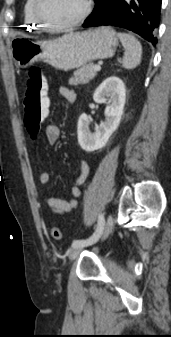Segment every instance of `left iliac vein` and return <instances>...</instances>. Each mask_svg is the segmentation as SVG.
Wrapping results in <instances>:
<instances>
[{
    "label": "left iliac vein",
    "mask_w": 171,
    "mask_h": 337,
    "mask_svg": "<svg viewBox=\"0 0 171 337\" xmlns=\"http://www.w3.org/2000/svg\"><path fill=\"white\" fill-rule=\"evenodd\" d=\"M113 223H114L113 217L110 215L107 219L105 230L103 232V236H102L103 239H105L110 234V232L112 231ZM82 248L83 247L72 248L69 251V254H68L69 259L75 260L79 256Z\"/></svg>",
    "instance_id": "obj_1"
}]
</instances>
